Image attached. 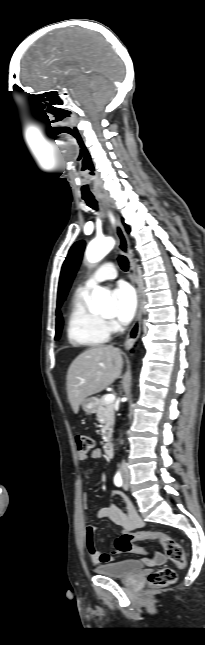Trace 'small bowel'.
I'll use <instances>...</instances> for the list:
<instances>
[{"label":"small bowel","mask_w":205,"mask_h":645,"mask_svg":"<svg viewBox=\"0 0 205 645\" xmlns=\"http://www.w3.org/2000/svg\"><path fill=\"white\" fill-rule=\"evenodd\" d=\"M101 456H102V453L100 449L95 448L91 451L90 454H79L78 459L79 461H86L88 460V458L99 459L101 458ZM111 496H120L123 499L126 507V512H123L115 504L109 503L107 506L102 507L98 510L96 514V518L98 520H102L104 518L110 519L116 525L123 528L125 533L124 535L128 534L129 531L135 530L143 526V522L139 517L136 508L134 507L133 503L128 497H126L119 490H113L111 492ZM89 503H90V500L88 495L84 494L83 508L85 510L89 508ZM138 533H134V534H138ZM93 534H94V526L90 525L85 530V546L88 551V555L91 563L93 565H100V564L111 563L115 561V556L119 554L116 548L111 553L99 552L95 547ZM164 560H165V557L161 553H157L152 558L145 557L143 559V562L146 565H153L155 563L157 564L163 563Z\"/></svg>","instance_id":"obj_1"}]
</instances>
